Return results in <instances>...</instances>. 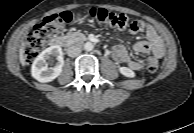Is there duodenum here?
Listing matches in <instances>:
<instances>
[{"label": "duodenum", "instance_id": "duodenum-1", "mask_svg": "<svg viewBox=\"0 0 194 133\" xmlns=\"http://www.w3.org/2000/svg\"><path fill=\"white\" fill-rule=\"evenodd\" d=\"M75 41L80 42V43H85L87 41V38L85 36H80V37H76ZM68 43H69V41L66 38L58 36L52 40L51 44L53 46L64 47V46L68 45Z\"/></svg>", "mask_w": 194, "mask_h": 133}]
</instances>
